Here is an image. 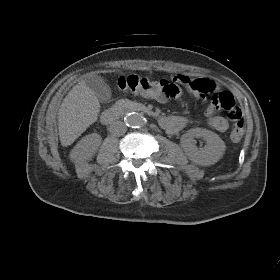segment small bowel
<instances>
[{
  "label": "small bowel",
  "instance_id": "1",
  "mask_svg": "<svg viewBox=\"0 0 280 280\" xmlns=\"http://www.w3.org/2000/svg\"><path fill=\"white\" fill-rule=\"evenodd\" d=\"M175 81L180 85L185 87L191 94H193L197 99L205 100V94L199 89L211 83L216 88V84L206 78H192L187 75H177L174 77ZM205 115L207 118L208 125L216 131L224 132L228 129L229 123L226 118L216 115L213 106H209ZM166 122L162 126L167 133L176 134L182 129H184L189 124V119L185 116H168L165 117Z\"/></svg>",
  "mask_w": 280,
  "mask_h": 280
}]
</instances>
